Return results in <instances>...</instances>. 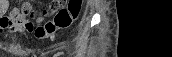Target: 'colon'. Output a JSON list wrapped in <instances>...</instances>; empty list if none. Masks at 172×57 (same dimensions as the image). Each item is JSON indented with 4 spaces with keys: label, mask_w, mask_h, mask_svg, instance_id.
<instances>
[{
    "label": "colon",
    "mask_w": 172,
    "mask_h": 57,
    "mask_svg": "<svg viewBox=\"0 0 172 57\" xmlns=\"http://www.w3.org/2000/svg\"><path fill=\"white\" fill-rule=\"evenodd\" d=\"M65 1L56 0L53 1L50 9L52 11H57L54 19L45 26V33L43 38L52 37L58 30L68 28L80 15L82 9L81 0H69L67 7L61 8L58 10V7ZM22 14L27 16H33L34 12L30 6L25 5L22 10Z\"/></svg>",
    "instance_id": "obj_1"
}]
</instances>
